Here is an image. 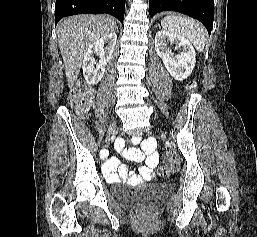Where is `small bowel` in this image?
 Returning a JSON list of instances; mask_svg holds the SVG:
<instances>
[{"label": "small bowel", "mask_w": 257, "mask_h": 237, "mask_svg": "<svg viewBox=\"0 0 257 237\" xmlns=\"http://www.w3.org/2000/svg\"><path fill=\"white\" fill-rule=\"evenodd\" d=\"M130 141L133 144H140V148L122 149L121 145H118V150L133 160H144L145 164L140 167L138 173H135L121 164L118 158L109 159L103 166V174L111 182L135 183L151 180L155 175V169L159 163V156L155 150V140L153 138L133 137Z\"/></svg>", "instance_id": "obj_1"}]
</instances>
